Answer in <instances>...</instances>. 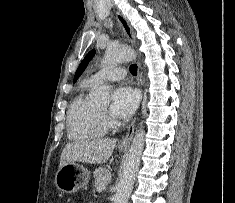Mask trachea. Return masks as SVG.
Here are the masks:
<instances>
[{
  "label": "trachea",
  "mask_w": 235,
  "mask_h": 203,
  "mask_svg": "<svg viewBox=\"0 0 235 203\" xmlns=\"http://www.w3.org/2000/svg\"><path fill=\"white\" fill-rule=\"evenodd\" d=\"M130 72L132 75H137V65L136 64H133L130 66Z\"/></svg>",
  "instance_id": "trachea-1"
}]
</instances>
